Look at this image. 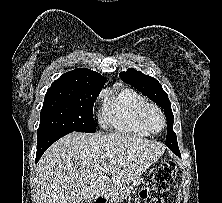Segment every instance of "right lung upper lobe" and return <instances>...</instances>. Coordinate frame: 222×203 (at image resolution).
I'll use <instances>...</instances> for the list:
<instances>
[{
	"mask_svg": "<svg viewBox=\"0 0 222 203\" xmlns=\"http://www.w3.org/2000/svg\"><path fill=\"white\" fill-rule=\"evenodd\" d=\"M106 78L87 68H78L64 73L49 89L98 90L104 87Z\"/></svg>",
	"mask_w": 222,
	"mask_h": 203,
	"instance_id": "cb5924a9",
	"label": "right lung upper lobe"
}]
</instances>
